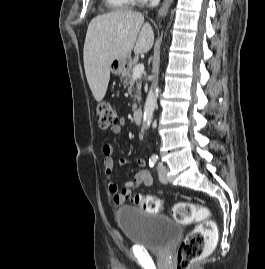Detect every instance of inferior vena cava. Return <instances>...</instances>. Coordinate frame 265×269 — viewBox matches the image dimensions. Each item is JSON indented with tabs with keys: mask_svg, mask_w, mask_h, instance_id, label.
Here are the masks:
<instances>
[{
	"mask_svg": "<svg viewBox=\"0 0 265 269\" xmlns=\"http://www.w3.org/2000/svg\"><path fill=\"white\" fill-rule=\"evenodd\" d=\"M160 0H150L151 6H157L159 4Z\"/></svg>",
	"mask_w": 265,
	"mask_h": 269,
	"instance_id": "inferior-vena-cava-1",
	"label": "inferior vena cava"
}]
</instances>
